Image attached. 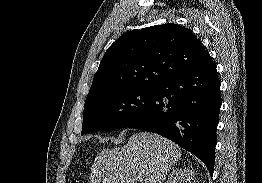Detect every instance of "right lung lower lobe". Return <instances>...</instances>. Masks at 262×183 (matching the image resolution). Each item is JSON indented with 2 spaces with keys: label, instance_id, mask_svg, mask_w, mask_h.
I'll return each mask as SVG.
<instances>
[{
  "label": "right lung lower lobe",
  "instance_id": "1",
  "mask_svg": "<svg viewBox=\"0 0 262 183\" xmlns=\"http://www.w3.org/2000/svg\"><path fill=\"white\" fill-rule=\"evenodd\" d=\"M220 81L211 60L156 88L150 105L127 127L155 132L196 155L213 174Z\"/></svg>",
  "mask_w": 262,
  "mask_h": 183
}]
</instances>
